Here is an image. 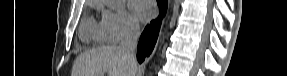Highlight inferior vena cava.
Returning a JSON list of instances; mask_svg holds the SVG:
<instances>
[{
	"mask_svg": "<svg viewBox=\"0 0 287 76\" xmlns=\"http://www.w3.org/2000/svg\"><path fill=\"white\" fill-rule=\"evenodd\" d=\"M139 36V24L135 22H130L128 29L125 33V37L118 46V50L129 59L131 65L134 68H136L137 66L135 51Z\"/></svg>",
	"mask_w": 287,
	"mask_h": 76,
	"instance_id": "inferior-vena-cava-1",
	"label": "inferior vena cava"
}]
</instances>
